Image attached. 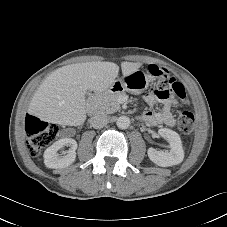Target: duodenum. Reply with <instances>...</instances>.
<instances>
[{
  "label": "duodenum",
  "instance_id": "410a0bca",
  "mask_svg": "<svg viewBox=\"0 0 227 227\" xmlns=\"http://www.w3.org/2000/svg\"><path fill=\"white\" fill-rule=\"evenodd\" d=\"M119 90H120V87L118 85H114L111 88V91H113V92L119 91ZM103 94H104V92H98V93H94L92 96H90V98L88 99V102H87V109L89 112H94L96 110L97 103Z\"/></svg>",
  "mask_w": 227,
  "mask_h": 227
}]
</instances>
